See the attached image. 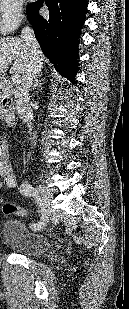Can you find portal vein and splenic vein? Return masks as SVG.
<instances>
[{"instance_id":"1","label":"portal vein and splenic vein","mask_w":129,"mask_h":309,"mask_svg":"<svg viewBox=\"0 0 129 309\" xmlns=\"http://www.w3.org/2000/svg\"><path fill=\"white\" fill-rule=\"evenodd\" d=\"M20 82L19 78L17 76L12 77V83L18 84Z\"/></svg>"}]
</instances>
